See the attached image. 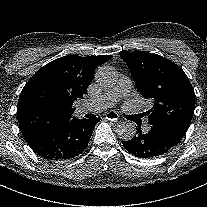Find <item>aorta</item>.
<instances>
[{
  "instance_id": "obj_1",
  "label": "aorta",
  "mask_w": 207,
  "mask_h": 207,
  "mask_svg": "<svg viewBox=\"0 0 207 207\" xmlns=\"http://www.w3.org/2000/svg\"><path fill=\"white\" fill-rule=\"evenodd\" d=\"M95 80L104 89L112 88L118 81V72L112 66L103 65L95 74ZM116 133L124 141L131 140L136 134V127L132 122H121L116 127Z\"/></svg>"
}]
</instances>
